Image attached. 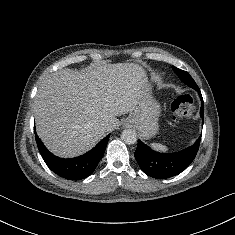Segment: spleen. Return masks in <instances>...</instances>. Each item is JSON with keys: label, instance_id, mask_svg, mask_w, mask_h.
Wrapping results in <instances>:
<instances>
[{"label": "spleen", "instance_id": "obj_1", "mask_svg": "<svg viewBox=\"0 0 235 235\" xmlns=\"http://www.w3.org/2000/svg\"><path fill=\"white\" fill-rule=\"evenodd\" d=\"M150 145H151V147H152L153 149H155V150H157V151H163V152L167 151V147L164 146V145H162V144H159V143H152V144H150Z\"/></svg>", "mask_w": 235, "mask_h": 235}]
</instances>
